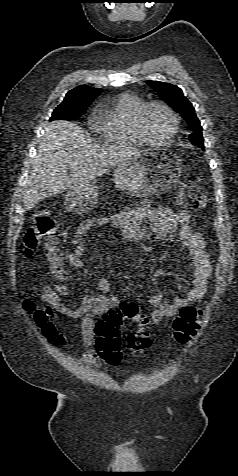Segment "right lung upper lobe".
<instances>
[{
	"label": "right lung upper lobe",
	"mask_w": 238,
	"mask_h": 476,
	"mask_svg": "<svg viewBox=\"0 0 238 476\" xmlns=\"http://www.w3.org/2000/svg\"><path fill=\"white\" fill-rule=\"evenodd\" d=\"M101 91L102 89L99 88L90 87L88 85H79L69 91L63 101L90 105Z\"/></svg>",
	"instance_id": "cb5924a9"
}]
</instances>
